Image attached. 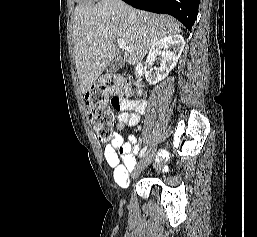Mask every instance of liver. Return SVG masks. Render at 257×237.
I'll return each instance as SVG.
<instances>
[{
  "mask_svg": "<svg viewBox=\"0 0 257 237\" xmlns=\"http://www.w3.org/2000/svg\"><path fill=\"white\" fill-rule=\"evenodd\" d=\"M180 32L174 18L134 9L121 0L77 5L73 44L82 93L89 91L116 56V40L123 39L129 48L125 50L123 61L135 65L154 43Z\"/></svg>",
  "mask_w": 257,
  "mask_h": 237,
  "instance_id": "obj_1",
  "label": "liver"
}]
</instances>
